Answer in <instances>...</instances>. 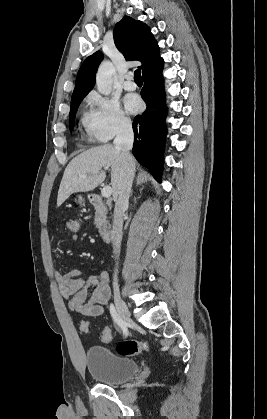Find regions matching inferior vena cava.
Instances as JSON below:
<instances>
[{
    "label": "inferior vena cava",
    "instance_id": "inferior-vena-cava-1",
    "mask_svg": "<svg viewBox=\"0 0 267 419\" xmlns=\"http://www.w3.org/2000/svg\"><path fill=\"white\" fill-rule=\"evenodd\" d=\"M134 142V134L132 124L129 120H122L117 128L116 137L114 139V146L120 151L123 162V174L118 186V195L114 208V220L112 229V238L115 253L117 257L120 254V247L122 241V227L123 216L128 208L129 196L132 187V182L135 174V162L130 153ZM114 288H118L117 277H114Z\"/></svg>",
    "mask_w": 267,
    "mask_h": 419
}]
</instances>
